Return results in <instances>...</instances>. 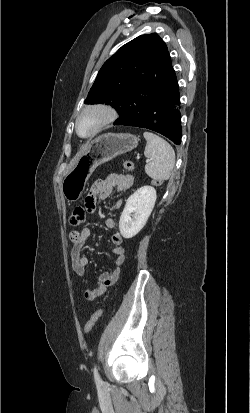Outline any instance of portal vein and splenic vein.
<instances>
[{
    "instance_id": "portal-vein-and-splenic-vein-1",
    "label": "portal vein and splenic vein",
    "mask_w": 250,
    "mask_h": 413,
    "mask_svg": "<svg viewBox=\"0 0 250 413\" xmlns=\"http://www.w3.org/2000/svg\"><path fill=\"white\" fill-rule=\"evenodd\" d=\"M136 158H137V160H139V159H140V156H139V155H137V157H136ZM146 162H149V160H147Z\"/></svg>"
}]
</instances>
